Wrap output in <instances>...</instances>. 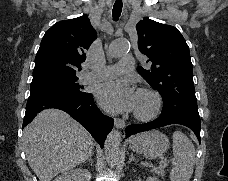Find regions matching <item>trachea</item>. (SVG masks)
Returning a JSON list of instances; mask_svg holds the SVG:
<instances>
[{"label": "trachea", "instance_id": "trachea-1", "mask_svg": "<svg viewBox=\"0 0 228 181\" xmlns=\"http://www.w3.org/2000/svg\"><path fill=\"white\" fill-rule=\"evenodd\" d=\"M122 6H123L122 0H115V3L113 5V10H112V17L115 22L119 19L121 15Z\"/></svg>", "mask_w": 228, "mask_h": 181}]
</instances>
